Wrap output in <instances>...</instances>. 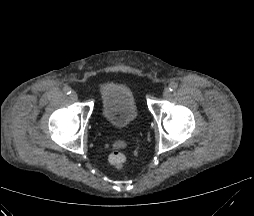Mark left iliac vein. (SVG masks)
<instances>
[{"label":"left iliac vein","mask_w":254,"mask_h":216,"mask_svg":"<svg viewBox=\"0 0 254 216\" xmlns=\"http://www.w3.org/2000/svg\"><path fill=\"white\" fill-rule=\"evenodd\" d=\"M171 92L169 90V88H165L163 91V97L164 98H168L170 96Z\"/></svg>","instance_id":"obj_1"}]
</instances>
